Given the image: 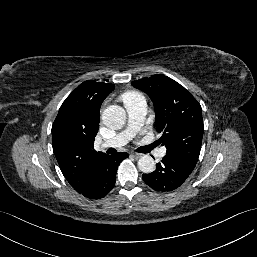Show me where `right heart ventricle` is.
Returning <instances> with one entry per match:
<instances>
[{"mask_svg": "<svg viewBox=\"0 0 257 257\" xmlns=\"http://www.w3.org/2000/svg\"><path fill=\"white\" fill-rule=\"evenodd\" d=\"M139 99H144V98L141 94L134 91L127 92L122 96V100L125 104L134 100H139Z\"/></svg>", "mask_w": 257, "mask_h": 257, "instance_id": "right-heart-ventricle-1", "label": "right heart ventricle"}]
</instances>
